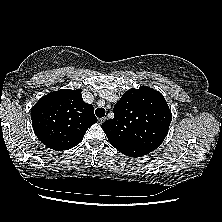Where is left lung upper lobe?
I'll use <instances>...</instances> for the list:
<instances>
[{"label": "left lung upper lobe", "instance_id": "5c2ea615", "mask_svg": "<svg viewBox=\"0 0 222 222\" xmlns=\"http://www.w3.org/2000/svg\"><path fill=\"white\" fill-rule=\"evenodd\" d=\"M114 118L102 129L112 146L145 147L152 151L164 141L172 114L164 96L147 86L129 89L115 104Z\"/></svg>", "mask_w": 222, "mask_h": 222}]
</instances>
